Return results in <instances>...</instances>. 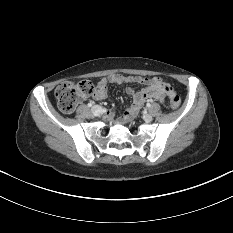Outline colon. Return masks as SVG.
I'll use <instances>...</instances> for the list:
<instances>
[{"label":"colon","instance_id":"1","mask_svg":"<svg viewBox=\"0 0 233 233\" xmlns=\"http://www.w3.org/2000/svg\"><path fill=\"white\" fill-rule=\"evenodd\" d=\"M94 86L88 80L79 82H65L59 85L55 90L57 104L61 112L71 113L75 107L85 98L94 93ZM180 105V97L172 94L170 98V107L177 109Z\"/></svg>","mask_w":233,"mask_h":233}]
</instances>
